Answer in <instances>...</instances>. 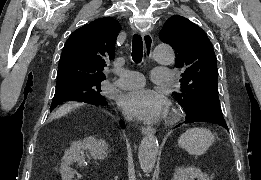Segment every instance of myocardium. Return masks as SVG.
Returning <instances> with one entry per match:
<instances>
[{
	"instance_id": "f54148a6",
	"label": "myocardium",
	"mask_w": 261,
	"mask_h": 180,
	"mask_svg": "<svg viewBox=\"0 0 261 180\" xmlns=\"http://www.w3.org/2000/svg\"><path fill=\"white\" fill-rule=\"evenodd\" d=\"M171 117H172V113H171L170 111H167V112L165 113V115H164V119H165L166 121H169V120L171 119Z\"/></svg>"
}]
</instances>
